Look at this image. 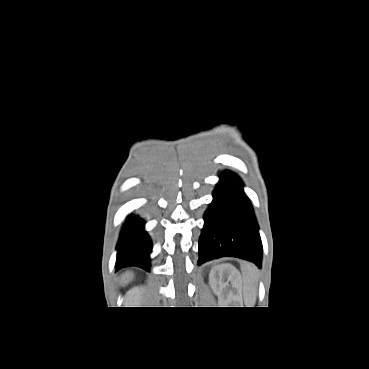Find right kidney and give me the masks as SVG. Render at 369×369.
<instances>
[{"instance_id":"obj_1","label":"right kidney","mask_w":369,"mask_h":369,"mask_svg":"<svg viewBox=\"0 0 369 369\" xmlns=\"http://www.w3.org/2000/svg\"><path fill=\"white\" fill-rule=\"evenodd\" d=\"M144 291L143 286H136L133 287L132 289H130L128 291V299L133 301L135 305L139 306L140 304V299H141V294Z\"/></svg>"}]
</instances>
